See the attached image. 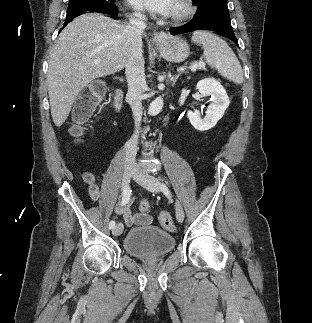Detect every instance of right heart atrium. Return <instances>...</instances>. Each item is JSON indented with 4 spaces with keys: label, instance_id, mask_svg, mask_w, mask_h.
I'll use <instances>...</instances> for the list:
<instances>
[{
    "label": "right heart atrium",
    "instance_id": "d8ad5b80",
    "mask_svg": "<svg viewBox=\"0 0 312 323\" xmlns=\"http://www.w3.org/2000/svg\"><path fill=\"white\" fill-rule=\"evenodd\" d=\"M147 10H136L135 12H134V15L136 16V17H147Z\"/></svg>",
    "mask_w": 312,
    "mask_h": 323
}]
</instances>
